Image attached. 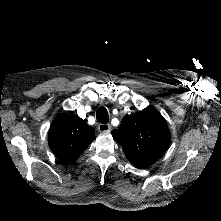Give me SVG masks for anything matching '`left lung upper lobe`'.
<instances>
[{
    "label": "left lung upper lobe",
    "instance_id": "left-lung-upper-lobe-1",
    "mask_svg": "<svg viewBox=\"0 0 221 221\" xmlns=\"http://www.w3.org/2000/svg\"><path fill=\"white\" fill-rule=\"evenodd\" d=\"M113 138L123 147L130 163L138 168L155 163L170 145V131L164 117L149 106L125 115Z\"/></svg>",
    "mask_w": 221,
    "mask_h": 221
}]
</instances>
